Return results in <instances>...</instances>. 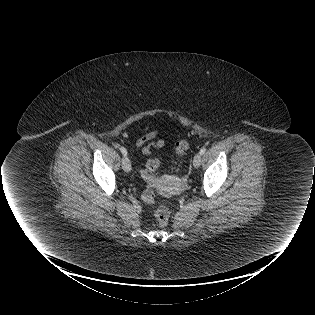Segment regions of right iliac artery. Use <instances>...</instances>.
<instances>
[{
	"label": "right iliac artery",
	"instance_id": "obj_1",
	"mask_svg": "<svg viewBox=\"0 0 315 315\" xmlns=\"http://www.w3.org/2000/svg\"><path fill=\"white\" fill-rule=\"evenodd\" d=\"M120 151H121V153H122L124 156L127 155V151H126V149H125L124 147H120Z\"/></svg>",
	"mask_w": 315,
	"mask_h": 315
}]
</instances>
